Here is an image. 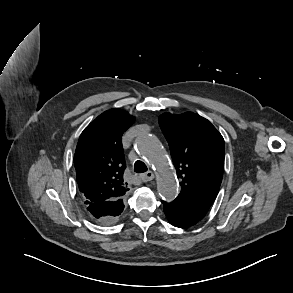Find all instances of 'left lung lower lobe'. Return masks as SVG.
<instances>
[{
    "label": "left lung lower lobe",
    "mask_w": 293,
    "mask_h": 293,
    "mask_svg": "<svg viewBox=\"0 0 293 293\" xmlns=\"http://www.w3.org/2000/svg\"><path fill=\"white\" fill-rule=\"evenodd\" d=\"M163 206L168 221L179 228H187L196 224L206 214V212L190 207L177 198L171 203L163 201Z\"/></svg>",
    "instance_id": "0a47b994"
}]
</instances>
